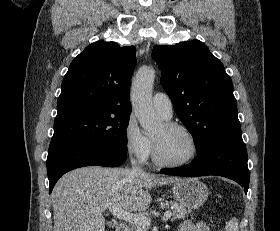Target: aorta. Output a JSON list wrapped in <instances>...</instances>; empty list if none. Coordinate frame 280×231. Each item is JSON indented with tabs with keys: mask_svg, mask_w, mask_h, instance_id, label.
I'll use <instances>...</instances> for the list:
<instances>
[{
	"mask_svg": "<svg viewBox=\"0 0 280 231\" xmlns=\"http://www.w3.org/2000/svg\"><path fill=\"white\" fill-rule=\"evenodd\" d=\"M155 80V70L151 66H141L133 82L131 90V102L134 114L141 127L149 133H154L162 119L154 112L152 104V90Z\"/></svg>",
	"mask_w": 280,
	"mask_h": 231,
	"instance_id": "obj_1",
	"label": "aorta"
}]
</instances>
